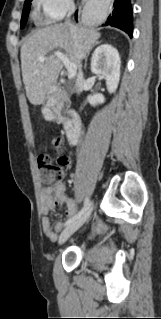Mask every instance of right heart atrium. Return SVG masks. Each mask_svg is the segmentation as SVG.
I'll use <instances>...</instances> for the list:
<instances>
[{
  "label": "right heart atrium",
  "mask_w": 161,
  "mask_h": 319,
  "mask_svg": "<svg viewBox=\"0 0 161 319\" xmlns=\"http://www.w3.org/2000/svg\"><path fill=\"white\" fill-rule=\"evenodd\" d=\"M49 23L62 20L74 8L73 0H35Z\"/></svg>",
  "instance_id": "obj_1"
}]
</instances>
